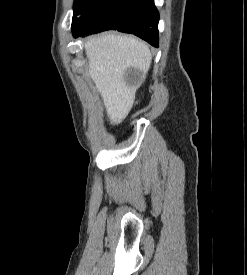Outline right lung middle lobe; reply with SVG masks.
<instances>
[{
    "label": "right lung middle lobe",
    "instance_id": "obj_1",
    "mask_svg": "<svg viewBox=\"0 0 247 275\" xmlns=\"http://www.w3.org/2000/svg\"><path fill=\"white\" fill-rule=\"evenodd\" d=\"M105 0H75L74 1V15L72 26L78 21L79 17L86 11L92 9Z\"/></svg>",
    "mask_w": 247,
    "mask_h": 275
}]
</instances>
